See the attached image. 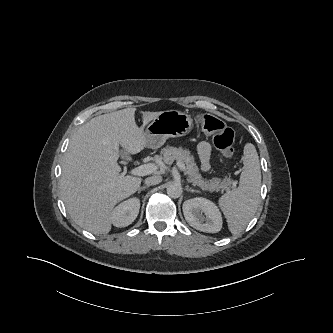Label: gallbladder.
<instances>
[{"instance_id":"obj_1","label":"gallbladder","mask_w":333,"mask_h":333,"mask_svg":"<svg viewBox=\"0 0 333 333\" xmlns=\"http://www.w3.org/2000/svg\"><path fill=\"white\" fill-rule=\"evenodd\" d=\"M120 154H121V156H122L124 159H126V160H130V156H129V154L126 152V150L122 149V150L120 151Z\"/></svg>"}]
</instances>
